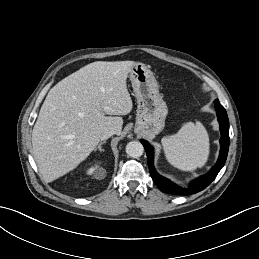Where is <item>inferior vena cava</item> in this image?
Returning <instances> with one entry per match:
<instances>
[{
	"label": "inferior vena cava",
	"instance_id": "602c4592",
	"mask_svg": "<svg viewBox=\"0 0 259 259\" xmlns=\"http://www.w3.org/2000/svg\"><path fill=\"white\" fill-rule=\"evenodd\" d=\"M114 134H115V131L113 129H107L101 134L100 138L101 140H106Z\"/></svg>",
	"mask_w": 259,
	"mask_h": 259
}]
</instances>
